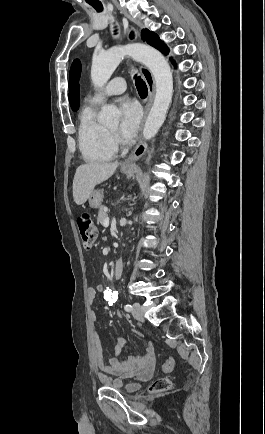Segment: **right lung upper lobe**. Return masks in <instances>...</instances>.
Segmentation results:
<instances>
[{
    "instance_id": "obj_1",
    "label": "right lung upper lobe",
    "mask_w": 265,
    "mask_h": 434,
    "mask_svg": "<svg viewBox=\"0 0 265 434\" xmlns=\"http://www.w3.org/2000/svg\"><path fill=\"white\" fill-rule=\"evenodd\" d=\"M81 74V63L78 59L74 60L70 69L69 77V101L71 108L79 107V79Z\"/></svg>"
}]
</instances>
